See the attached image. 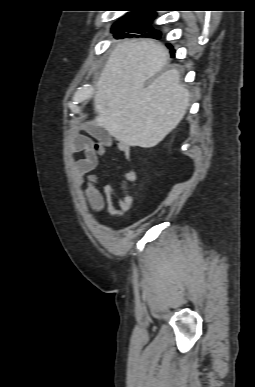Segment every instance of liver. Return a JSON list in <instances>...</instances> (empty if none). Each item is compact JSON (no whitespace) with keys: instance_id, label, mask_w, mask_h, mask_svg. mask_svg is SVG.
I'll list each match as a JSON object with an SVG mask.
<instances>
[{"instance_id":"liver-1","label":"liver","mask_w":255,"mask_h":387,"mask_svg":"<svg viewBox=\"0 0 255 387\" xmlns=\"http://www.w3.org/2000/svg\"><path fill=\"white\" fill-rule=\"evenodd\" d=\"M168 59L169 51L152 39L117 44L96 83L95 122L129 146L160 143L189 107V92L176 69L154 78Z\"/></svg>"}]
</instances>
